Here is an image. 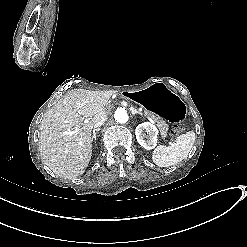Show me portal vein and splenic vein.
<instances>
[{
    "mask_svg": "<svg viewBox=\"0 0 247 247\" xmlns=\"http://www.w3.org/2000/svg\"><path fill=\"white\" fill-rule=\"evenodd\" d=\"M146 118L148 119L149 122H151L154 126H156L157 130H160L159 124H157L156 121L153 120V118H151L149 115H146ZM84 123H87V120H84ZM81 130L82 127H78L76 130H67L61 132V135H70L73 133H78L79 143H82ZM169 145H172V142H169Z\"/></svg>",
    "mask_w": 247,
    "mask_h": 247,
    "instance_id": "obj_1",
    "label": "portal vein and splenic vein"
}]
</instances>
